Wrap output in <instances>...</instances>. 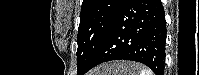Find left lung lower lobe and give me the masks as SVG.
Wrapping results in <instances>:
<instances>
[{
  "mask_svg": "<svg viewBox=\"0 0 199 75\" xmlns=\"http://www.w3.org/2000/svg\"><path fill=\"white\" fill-rule=\"evenodd\" d=\"M166 22L160 0H124L90 66L132 60L164 75Z\"/></svg>",
  "mask_w": 199,
  "mask_h": 75,
  "instance_id": "1",
  "label": "left lung lower lobe"
}]
</instances>
